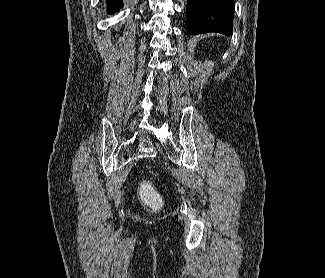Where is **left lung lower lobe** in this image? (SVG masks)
<instances>
[{"instance_id": "obj_1", "label": "left lung lower lobe", "mask_w": 325, "mask_h": 278, "mask_svg": "<svg viewBox=\"0 0 325 278\" xmlns=\"http://www.w3.org/2000/svg\"><path fill=\"white\" fill-rule=\"evenodd\" d=\"M233 16L234 0H188L186 34L218 32L231 36Z\"/></svg>"}]
</instances>
